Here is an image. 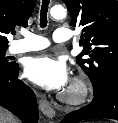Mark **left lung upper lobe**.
Here are the masks:
<instances>
[{
    "label": "left lung upper lobe",
    "mask_w": 118,
    "mask_h": 123,
    "mask_svg": "<svg viewBox=\"0 0 118 123\" xmlns=\"http://www.w3.org/2000/svg\"><path fill=\"white\" fill-rule=\"evenodd\" d=\"M70 25L82 29L83 51L77 62L98 89L118 74V2L116 0H63ZM85 56V58H82Z\"/></svg>",
    "instance_id": "1"
}]
</instances>
